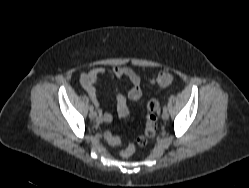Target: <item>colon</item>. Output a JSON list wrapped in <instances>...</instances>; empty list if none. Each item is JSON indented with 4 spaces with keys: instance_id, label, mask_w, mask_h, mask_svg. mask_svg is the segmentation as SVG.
<instances>
[{
    "instance_id": "5ec220e1",
    "label": "colon",
    "mask_w": 249,
    "mask_h": 188,
    "mask_svg": "<svg viewBox=\"0 0 249 188\" xmlns=\"http://www.w3.org/2000/svg\"><path fill=\"white\" fill-rule=\"evenodd\" d=\"M174 78L173 75L169 72L160 73L154 81L162 86H168L172 84ZM146 123L143 135L138 137L137 143L139 146H144L147 144L148 139L153 137L157 130V120H158V110L159 104L155 99H150L146 104ZM105 139L110 145H119L121 139L110 132H105ZM134 153V147L132 145L127 146L122 152L121 156L128 158Z\"/></svg>"
}]
</instances>
